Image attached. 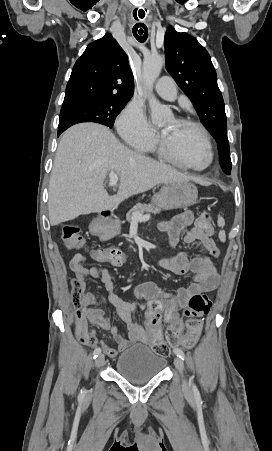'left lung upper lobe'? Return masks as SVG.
<instances>
[{
    "mask_svg": "<svg viewBox=\"0 0 272 451\" xmlns=\"http://www.w3.org/2000/svg\"><path fill=\"white\" fill-rule=\"evenodd\" d=\"M166 69L193 101L201 122L216 139L220 166L231 171L227 121L217 75L207 50L193 36L169 27L165 33Z\"/></svg>",
    "mask_w": 272,
    "mask_h": 451,
    "instance_id": "5c2ea615",
    "label": "left lung upper lobe"
}]
</instances>
